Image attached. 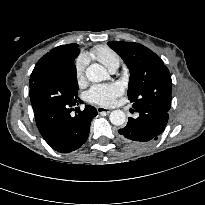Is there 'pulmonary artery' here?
<instances>
[{
    "label": "pulmonary artery",
    "mask_w": 205,
    "mask_h": 205,
    "mask_svg": "<svg viewBox=\"0 0 205 205\" xmlns=\"http://www.w3.org/2000/svg\"><path fill=\"white\" fill-rule=\"evenodd\" d=\"M116 69H117V68H113V69H111L110 71H111V72H115V71H116Z\"/></svg>",
    "instance_id": "1"
}]
</instances>
